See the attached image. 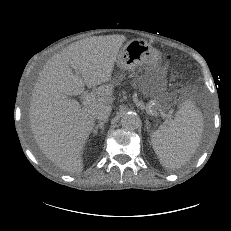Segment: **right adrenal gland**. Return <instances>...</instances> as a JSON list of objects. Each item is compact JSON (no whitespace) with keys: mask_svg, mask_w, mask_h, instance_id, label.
Returning <instances> with one entry per match:
<instances>
[{"mask_svg":"<svg viewBox=\"0 0 231 231\" xmlns=\"http://www.w3.org/2000/svg\"><path fill=\"white\" fill-rule=\"evenodd\" d=\"M107 122V120L102 121V122H98V124L95 126V128L93 129V134L97 135L98 133V129H101V134L104 133V124Z\"/></svg>","mask_w":231,"mask_h":231,"instance_id":"1","label":"right adrenal gland"}]
</instances>
